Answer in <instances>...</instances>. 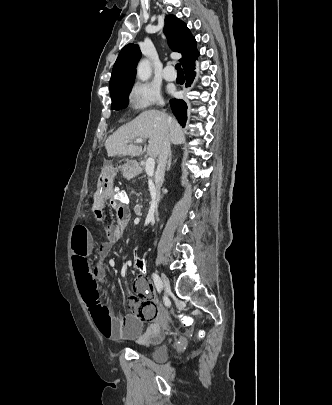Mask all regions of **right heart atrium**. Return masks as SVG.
Listing matches in <instances>:
<instances>
[{
    "mask_svg": "<svg viewBox=\"0 0 332 405\" xmlns=\"http://www.w3.org/2000/svg\"><path fill=\"white\" fill-rule=\"evenodd\" d=\"M129 103L133 110L140 112L162 105L159 90L147 83H136L129 92Z\"/></svg>",
    "mask_w": 332,
    "mask_h": 405,
    "instance_id": "d8ad5b80",
    "label": "right heart atrium"
}]
</instances>
